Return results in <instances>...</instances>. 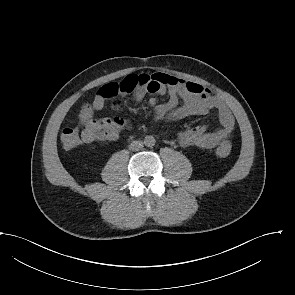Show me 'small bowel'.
I'll return each instance as SVG.
<instances>
[{"label":"small bowel","mask_w":295,"mask_h":295,"mask_svg":"<svg viewBox=\"0 0 295 295\" xmlns=\"http://www.w3.org/2000/svg\"><path fill=\"white\" fill-rule=\"evenodd\" d=\"M139 84L134 92L137 101L146 94L167 95L168 100L158 103L155 97L149 99L156 119L176 121L192 115H206L209 111L217 112L221 127L207 131L202 125L186 129L178 134L179 144L183 147L213 149L231 135L235 119L227 104L213 91L202 85L185 81L164 73L137 75ZM105 98L97 93L93 101L82 107L79 122L82 126V137L85 143L114 141L121 130L129 125L124 118L94 117L95 112L105 105Z\"/></svg>","instance_id":"1"}]
</instances>
